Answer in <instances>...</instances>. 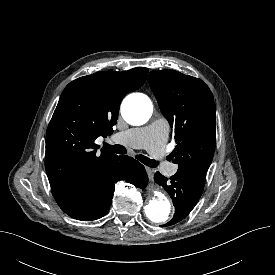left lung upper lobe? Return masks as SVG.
Segmentation results:
<instances>
[{"instance_id":"5c2ea615","label":"left lung upper lobe","mask_w":275,"mask_h":275,"mask_svg":"<svg viewBox=\"0 0 275 275\" xmlns=\"http://www.w3.org/2000/svg\"><path fill=\"white\" fill-rule=\"evenodd\" d=\"M149 84L174 130L177 145L170 155L178 164L177 172L205 180L216 142L215 105L210 89L202 80L175 70L151 71Z\"/></svg>"}]
</instances>
